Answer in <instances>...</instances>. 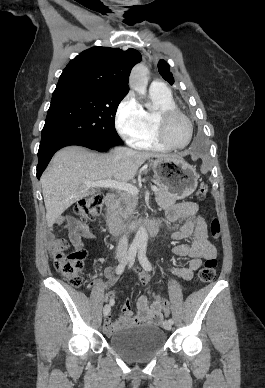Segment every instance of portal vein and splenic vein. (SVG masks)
Masks as SVG:
<instances>
[{"instance_id": "18ae733b", "label": "portal vein and splenic vein", "mask_w": 265, "mask_h": 388, "mask_svg": "<svg viewBox=\"0 0 265 388\" xmlns=\"http://www.w3.org/2000/svg\"><path fill=\"white\" fill-rule=\"evenodd\" d=\"M84 188H115V190H124L127 194H132V196H136L139 190L136 186H132V184H126V182H115V180H99V182H90V180H83ZM151 190L153 192H159L156 186H151Z\"/></svg>"}]
</instances>
